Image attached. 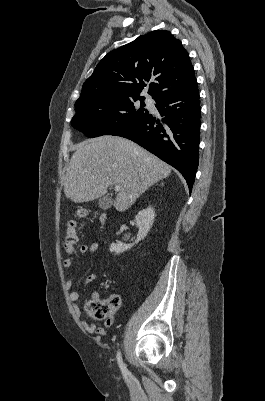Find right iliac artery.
<instances>
[{"label": "right iliac artery", "instance_id": "right-iliac-artery-1", "mask_svg": "<svg viewBox=\"0 0 265 401\" xmlns=\"http://www.w3.org/2000/svg\"><path fill=\"white\" fill-rule=\"evenodd\" d=\"M117 362H118V365H119V367H120L122 373H123L124 375H128V374H129V371H128V369L126 368V364L123 362V359H122V356H121V352H120V351L117 352Z\"/></svg>", "mask_w": 265, "mask_h": 401}]
</instances>
